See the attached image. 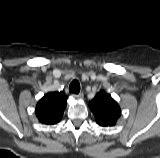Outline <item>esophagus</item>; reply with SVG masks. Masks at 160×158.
<instances>
[{"label":"esophagus","instance_id":"esophagus-1","mask_svg":"<svg viewBox=\"0 0 160 158\" xmlns=\"http://www.w3.org/2000/svg\"><path fill=\"white\" fill-rule=\"evenodd\" d=\"M75 99H81L83 98V93L73 94L72 95Z\"/></svg>","mask_w":160,"mask_h":158}]
</instances>
